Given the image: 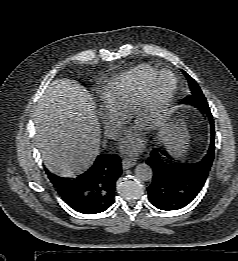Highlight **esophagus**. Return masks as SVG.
I'll use <instances>...</instances> for the list:
<instances>
[{
  "instance_id": "1",
  "label": "esophagus",
  "mask_w": 238,
  "mask_h": 261,
  "mask_svg": "<svg viewBox=\"0 0 238 261\" xmlns=\"http://www.w3.org/2000/svg\"><path fill=\"white\" fill-rule=\"evenodd\" d=\"M136 164V161L134 159H123L122 160V168L128 169L133 167Z\"/></svg>"
}]
</instances>
